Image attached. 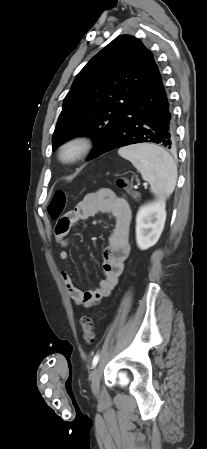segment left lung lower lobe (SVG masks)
Wrapping results in <instances>:
<instances>
[{"label": "left lung lower lobe", "instance_id": "left-lung-lower-lobe-1", "mask_svg": "<svg viewBox=\"0 0 207 449\" xmlns=\"http://www.w3.org/2000/svg\"><path fill=\"white\" fill-rule=\"evenodd\" d=\"M175 137L170 99L156 65L124 120L95 157L119 147L145 142L174 149Z\"/></svg>", "mask_w": 207, "mask_h": 449}]
</instances>
